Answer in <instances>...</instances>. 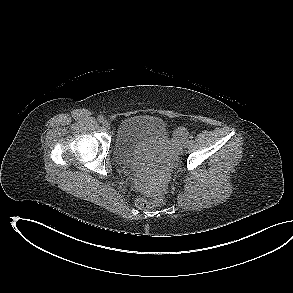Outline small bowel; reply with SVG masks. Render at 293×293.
Returning a JSON list of instances; mask_svg holds the SVG:
<instances>
[{
  "mask_svg": "<svg viewBox=\"0 0 293 293\" xmlns=\"http://www.w3.org/2000/svg\"><path fill=\"white\" fill-rule=\"evenodd\" d=\"M181 132H182L181 134H184V130L183 129H181Z\"/></svg>",
  "mask_w": 293,
  "mask_h": 293,
  "instance_id": "small-bowel-1",
  "label": "small bowel"
}]
</instances>
